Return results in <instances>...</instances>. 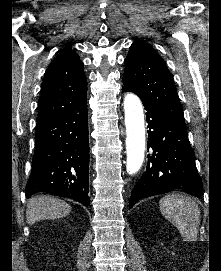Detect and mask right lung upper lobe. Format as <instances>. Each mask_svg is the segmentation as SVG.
I'll return each instance as SVG.
<instances>
[{"label":"right lung upper lobe","mask_w":221,"mask_h":271,"mask_svg":"<svg viewBox=\"0 0 221 271\" xmlns=\"http://www.w3.org/2000/svg\"><path fill=\"white\" fill-rule=\"evenodd\" d=\"M87 105V80L83 63L70 45L50 63L38 102L37 122L49 120Z\"/></svg>","instance_id":"cb5924a9"}]
</instances>
